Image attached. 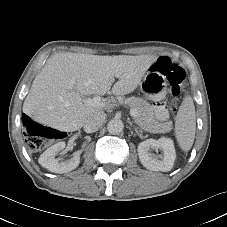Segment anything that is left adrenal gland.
I'll return each instance as SVG.
<instances>
[{"mask_svg": "<svg viewBox=\"0 0 227 227\" xmlns=\"http://www.w3.org/2000/svg\"><path fill=\"white\" fill-rule=\"evenodd\" d=\"M134 128L136 129V130H140L138 127H136V126H134ZM140 131H142V130H140Z\"/></svg>", "mask_w": 227, "mask_h": 227, "instance_id": "a2214340", "label": "left adrenal gland"}]
</instances>
